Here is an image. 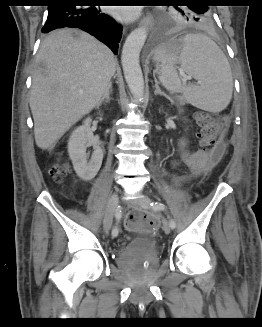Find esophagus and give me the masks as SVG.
Instances as JSON below:
<instances>
[{"mask_svg": "<svg viewBox=\"0 0 262 327\" xmlns=\"http://www.w3.org/2000/svg\"><path fill=\"white\" fill-rule=\"evenodd\" d=\"M139 25L146 26L149 30L154 27V18L150 12H146L138 21Z\"/></svg>", "mask_w": 262, "mask_h": 327, "instance_id": "34e87169", "label": "esophagus"}]
</instances>
